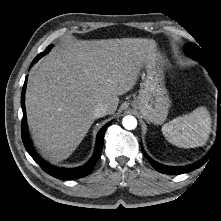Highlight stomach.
<instances>
[{"mask_svg":"<svg viewBox=\"0 0 221 221\" xmlns=\"http://www.w3.org/2000/svg\"><path fill=\"white\" fill-rule=\"evenodd\" d=\"M146 75L139 94L131 102L142 117L150 123L162 124L168 115L171 101L165 88L164 64L158 55L145 65Z\"/></svg>","mask_w":221,"mask_h":221,"instance_id":"1","label":"stomach"}]
</instances>
